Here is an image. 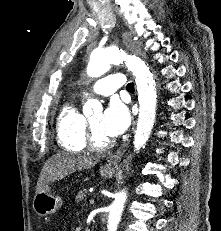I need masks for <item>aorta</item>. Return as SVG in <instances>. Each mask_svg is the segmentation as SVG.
Segmentation results:
<instances>
[{"mask_svg":"<svg viewBox=\"0 0 221 231\" xmlns=\"http://www.w3.org/2000/svg\"><path fill=\"white\" fill-rule=\"evenodd\" d=\"M125 64L133 73L138 91L139 117L134 136V150L139 152L146 145L155 122L157 92L152 73L146 63L139 57L119 48H97L90 55L87 67L89 77H100L106 73L111 65ZM101 107L99 101L89 99L84 108ZM127 199L123 190L115 195L110 206L107 231H117L121 215Z\"/></svg>","mask_w":221,"mask_h":231,"instance_id":"762f6f07","label":"aorta"}]
</instances>
